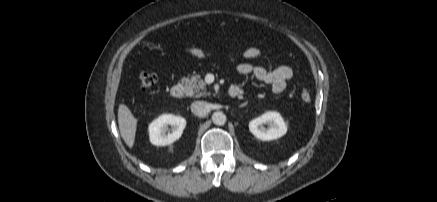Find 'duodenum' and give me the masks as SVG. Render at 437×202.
<instances>
[{
	"mask_svg": "<svg viewBox=\"0 0 437 202\" xmlns=\"http://www.w3.org/2000/svg\"><path fill=\"white\" fill-rule=\"evenodd\" d=\"M170 93L173 98L179 99L184 94V87L181 84H175L171 87ZM241 94V91L237 87H230L228 90V95L231 98H235Z\"/></svg>",
	"mask_w": 437,
	"mask_h": 202,
	"instance_id": "1",
	"label": "duodenum"
}]
</instances>
